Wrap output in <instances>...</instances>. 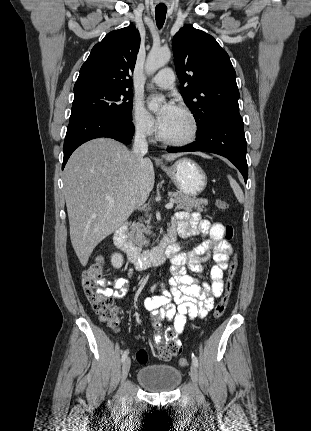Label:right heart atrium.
Instances as JSON below:
<instances>
[{
  "instance_id": "right-heart-atrium-1",
  "label": "right heart atrium",
  "mask_w": 311,
  "mask_h": 431,
  "mask_svg": "<svg viewBox=\"0 0 311 431\" xmlns=\"http://www.w3.org/2000/svg\"><path fill=\"white\" fill-rule=\"evenodd\" d=\"M129 123L133 132L143 138H151L156 132L153 117L139 100H134L131 104Z\"/></svg>"
}]
</instances>
